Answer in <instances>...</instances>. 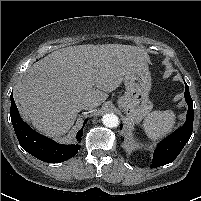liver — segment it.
Segmentation results:
<instances>
[{"instance_id": "1", "label": "liver", "mask_w": 201, "mask_h": 201, "mask_svg": "<svg viewBox=\"0 0 201 201\" xmlns=\"http://www.w3.org/2000/svg\"><path fill=\"white\" fill-rule=\"evenodd\" d=\"M147 52L123 44L79 45L56 50L29 67L16 88L23 116L46 136L58 138L74 124L78 104L100 106Z\"/></svg>"}]
</instances>
